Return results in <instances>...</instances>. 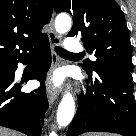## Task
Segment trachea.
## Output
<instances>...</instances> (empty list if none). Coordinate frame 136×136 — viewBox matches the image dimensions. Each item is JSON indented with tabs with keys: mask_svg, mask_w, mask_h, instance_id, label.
Here are the masks:
<instances>
[{
	"mask_svg": "<svg viewBox=\"0 0 136 136\" xmlns=\"http://www.w3.org/2000/svg\"><path fill=\"white\" fill-rule=\"evenodd\" d=\"M55 51L60 56H79L80 55V54L70 53V52L66 51L65 49L57 47V46L55 47Z\"/></svg>",
	"mask_w": 136,
	"mask_h": 136,
	"instance_id": "3493384b",
	"label": "trachea"
}]
</instances>
